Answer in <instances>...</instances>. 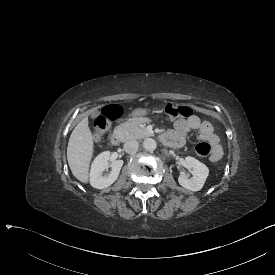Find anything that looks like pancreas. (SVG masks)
Returning <instances> with one entry per match:
<instances>
[{
  "instance_id": "obj_1",
  "label": "pancreas",
  "mask_w": 275,
  "mask_h": 275,
  "mask_svg": "<svg viewBox=\"0 0 275 275\" xmlns=\"http://www.w3.org/2000/svg\"><path fill=\"white\" fill-rule=\"evenodd\" d=\"M150 122H152L150 118H133L118 125L114 131L118 134L121 142L131 139H144L153 135L142 127L143 123Z\"/></svg>"
}]
</instances>
